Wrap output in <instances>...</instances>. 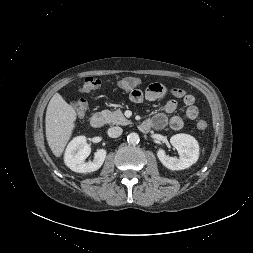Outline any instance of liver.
I'll return each mask as SVG.
<instances>
[{"mask_svg":"<svg viewBox=\"0 0 253 253\" xmlns=\"http://www.w3.org/2000/svg\"><path fill=\"white\" fill-rule=\"evenodd\" d=\"M76 118L75 109L55 93L47 106L45 130L48 145L56 157L62 155L75 128Z\"/></svg>","mask_w":253,"mask_h":253,"instance_id":"1","label":"liver"}]
</instances>
